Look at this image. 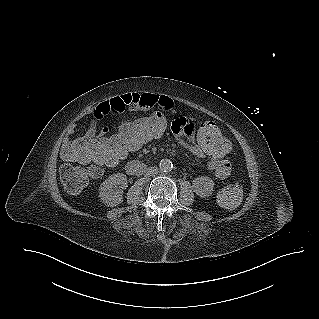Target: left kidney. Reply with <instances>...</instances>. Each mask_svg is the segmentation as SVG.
Segmentation results:
<instances>
[{"mask_svg": "<svg viewBox=\"0 0 319 319\" xmlns=\"http://www.w3.org/2000/svg\"><path fill=\"white\" fill-rule=\"evenodd\" d=\"M214 182L207 176L197 177L193 180L195 193L202 198L212 195Z\"/></svg>", "mask_w": 319, "mask_h": 319, "instance_id": "5707ae66", "label": "left kidney"}]
</instances>
